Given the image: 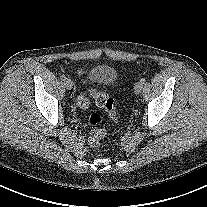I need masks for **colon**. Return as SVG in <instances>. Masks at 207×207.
<instances>
[{
  "instance_id": "obj_1",
  "label": "colon",
  "mask_w": 207,
  "mask_h": 207,
  "mask_svg": "<svg viewBox=\"0 0 207 207\" xmlns=\"http://www.w3.org/2000/svg\"><path fill=\"white\" fill-rule=\"evenodd\" d=\"M92 95L95 99L96 104L103 108L111 117L112 120L118 121V115L115 110L114 100L107 93L97 92L93 90ZM76 104L80 109H86L89 105V100L86 94H81L76 100ZM89 126L93 129L89 133L88 142L93 148H99L101 146V140L107 135V131L100 128L99 125L102 123V117L98 113H92L87 120Z\"/></svg>"
}]
</instances>
